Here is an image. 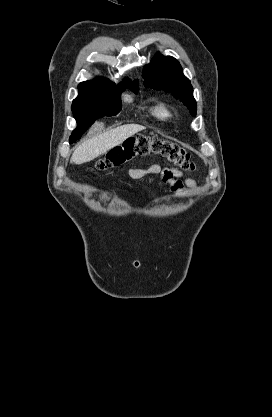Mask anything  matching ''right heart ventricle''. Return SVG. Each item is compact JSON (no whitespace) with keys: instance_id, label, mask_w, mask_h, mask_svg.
I'll list each match as a JSON object with an SVG mask.
<instances>
[{"instance_id":"e07e8e85","label":"right heart ventricle","mask_w":272,"mask_h":417,"mask_svg":"<svg viewBox=\"0 0 272 417\" xmlns=\"http://www.w3.org/2000/svg\"><path fill=\"white\" fill-rule=\"evenodd\" d=\"M152 115L161 121H167L173 117L172 111L165 102H158L152 108Z\"/></svg>"}]
</instances>
